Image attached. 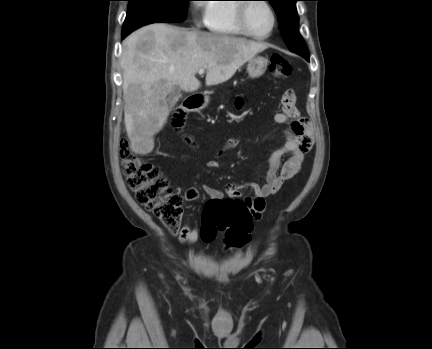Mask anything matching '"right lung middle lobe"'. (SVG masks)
I'll list each match as a JSON object with an SVG mask.
<instances>
[{
    "label": "right lung middle lobe",
    "mask_w": 432,
    "mask_h": 349,
    "mask_svg": "<svg viewBox=\"0 0 432 349\" xmlns=\"http://www.w3.org/2000/svg\"><path fill=\"white\" fill-rule=\"evenodd\" d=\"M122 33L155 22H180L186 19L190 0H128Z\"/></svg>",
    "instance_id": "right-lung-middle-lobe-1"
}]
</instances>
